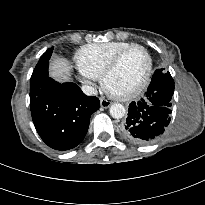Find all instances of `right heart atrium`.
Here are the masks:
<instances>
[{"instance_id":"d8ad5b80","label":"right heart atrium","mask_w":205,"mask_h":205,"mask_svg":"<svg viewBox=\"0 0 205 205\" xmlns=\"http://www.w3.org/2000/svg\"><path fill=\"white\" fill-rule=\"evenodd\" d=\"M78 76L80 78V80L86 84L87 86H89L90 88H92L97 80V78L93 75H91L90 73L86 72L85 70L81 69L78 66Z\"/></svg>"}]
</instances>
